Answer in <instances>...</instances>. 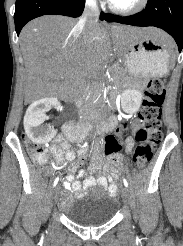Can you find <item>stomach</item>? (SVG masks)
<instances>
[{
	"label": "stomach",
	"mask_w": 183,
	"mask_h": 246,
	"mask_svg": "<svg viewBox=\"0 0 183 246\" xmlns=\"http://www.w3.org/2000/svg\"><path fill=\"white\" fill-rule=\"evenodd\" d=\"M122 56L129 73L139 78L163 75L169 65L167 45L153 38H137L125 43Z\"/></svg>",
	"instance_id": "stomach-1"
}]
</instances>
